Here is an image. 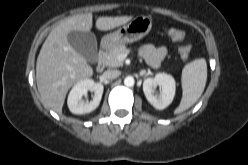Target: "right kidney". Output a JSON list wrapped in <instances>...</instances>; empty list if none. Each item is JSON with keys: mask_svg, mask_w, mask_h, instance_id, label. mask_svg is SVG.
I'll return each mask as SVG.
<instances>
[{"mask_svg": "<svg viewBox=\"0 0 248 165\" xmlns=\"http://www.w3.org/2000/svg\"><path fill=\"white\" fill-rule=\"evenodd\" d=\"M104 87L101 83H95L92 79H84L77 82L68 95V108L73 114L82 115L94 111L100 104ZM88 91L94 92L93 100L84 102L82 96Z\"/></svg>", "mask_w": 248, "mask_h": 165, "instance_id": "ca27d5eb", "label": "right kidney"}]
</instances>
